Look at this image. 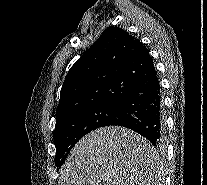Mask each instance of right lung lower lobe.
<instances>
[{"mask_svg": "<svg viewBox=\"0 0 207 185\" xmlns=\"http://www.w3.org/2000/svg\"><path fill=\"white\" fill-rule=\"evenodd\" d=\"M122 126L147 138L158 149L164 147L165 117L158 77L137 89L121 105L116 118L106 126Z\"/></svg>", "mask_w": 207, "mask_h": 185, "instance_id": "98d812e1", "label": "right lung lower lobe"}]
</instances>
